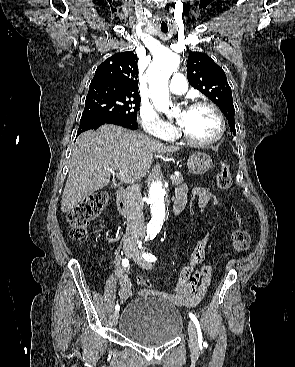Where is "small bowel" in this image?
I'll return each instance as SVG.
<instances>
[{
    "instance_id": "c3829d8e",
    "label": "small bowel",
    "mask_w": 295,
    "mask_h": 367,
    "mask_svg": "<svg viewBox=\"0 0 295 367\" xmlns=\"http://www.w3.org/2000/svg\"><path fill=\"white\" fill-rule=\"evenodd\" d=\"M191 195L196 196L199 202L197 205L200 212L208 217V202L212 194L204 187H195ZM189 190L187 186L182 185L176 189L175 201H181L184 206L188 202ZM209 241V233H206L197 243L191 253L187 263L179 272V280L176 286L174 300L182 306L192 308L198 305L205 296L206 289L211 285L213 268L209 265L198 267L204 260ZM119 298L122 301L131 298L134 292L133 283L127 274H124L120 280ZM139 294H145V290H139Z\"/></svg>"
}]
</instances>
